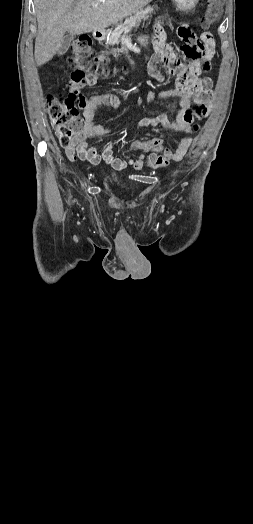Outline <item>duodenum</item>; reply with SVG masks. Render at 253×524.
I'll return each instance as SVG.
<instances>
[{
    "label": "duodenum",
    "instance_id": "1",
    "mask_svg": "<svg viewBox=\"0 0 253 524\" xmlns=\"http://www.w3.org/2000/svg\"><path fill=\"white\" fill-rule=\"evenodd\" d=\"M94 37L97 39V40H101L104 36V32L103 31H100V30H96L94 33H93Z\"/></svg>",
    "mask_w": 253,
    "mask_h": 524
}]
</instances>
